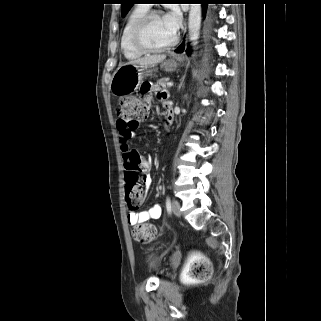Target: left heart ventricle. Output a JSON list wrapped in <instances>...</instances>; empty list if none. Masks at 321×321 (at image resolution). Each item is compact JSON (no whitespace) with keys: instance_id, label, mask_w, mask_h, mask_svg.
Instances as JSON below:
<instances>
[{"instance_id":"obj_1","label":"left heart ventricle","mask_w":321,"mask_h":321,"mask_svg":"<svg viewBox=\"0 0 321 321\" xmlns=\"http://www.w3.org/2000/svg\"><path fill=\"white\" fill-rule=\"evenodd\" d=\"M175 32L167 25L163 16L151 18L143 33L146 44L152 47H161L168 44L174 37Z\"/></svg>"}]
</instances>
